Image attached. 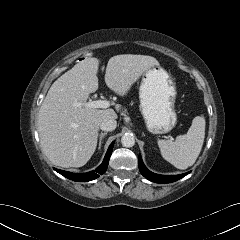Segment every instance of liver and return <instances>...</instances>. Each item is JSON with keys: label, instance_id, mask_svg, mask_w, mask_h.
<instances>
[{"label": "liver", "instance_id": "1", "mask_svg": "<svg viewBox=\"0 0 240 240\" xmlns=\"http://www.w3.org/2000/svg\"><path fill=\"white\" fill-rule=\"evenodd\" d=\"M99 59L86 58L60 76L50 87L38 114L37 125L42 152L60 167H81L97 146L99 126L105 119H116L113 109H96L85 103L98 87ZM159 65L147 55L123 54L109 59L105 82L124 96L149 68Z\"/></svg>", "mask_w": 240, "mask_h": 240}]
</instances>
